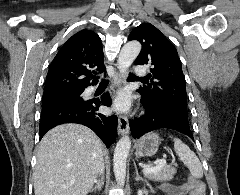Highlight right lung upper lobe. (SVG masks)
<instances>
[{"mask_svg": "<svg viewBox=\"0 0 240 195\" xmlns=\"http://www.w3.org/2000/svg\"><path fill=\"white\" fill-rule=\"evenodd\" d=\"M100 37L81 30L61 47L49 68L43 95L65 91H84L97 83L95 72H105ZM90 78H94L90 83Z\"/></svg>", "mask_w": 240, "mask_h": 195, "instance_id": "cb5924a9", "label": "right lung upper lobe"}]
</instances>
